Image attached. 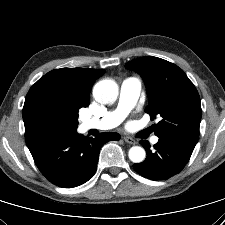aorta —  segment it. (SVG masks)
<instances>
[{
	"label": "aorta",
	"mask_w": 225,
	"mask_h": 225,
	"mask_svg": "<svg viewBox=\"0 0 225 225\" xmlns=\"http://www.w3.org/2000/svg\"><path fill=\"white\" fill-rule=\"evenodd\" d=\"M93 95L100 103H113L118 96V85L111 79L101 80L94 86ZM128 156L133 163H140L145 159L146 152L140 146H133L130 148Z\"/></svg>",
	"instance_id": "aorta-1"
}]
</instances>
